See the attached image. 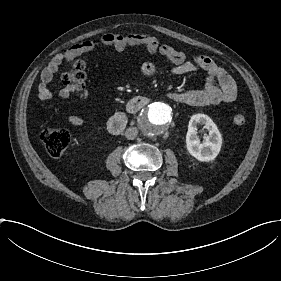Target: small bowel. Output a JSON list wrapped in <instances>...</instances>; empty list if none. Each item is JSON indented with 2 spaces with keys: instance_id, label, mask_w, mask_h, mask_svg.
I'll use <instances>...</instances> for the list:
<instances>
[{
  "instance_id": "small-bowel-1",
  "label": "small bowel",
  "mask_w": 281,
  "mask_h": 281,
  "mask_svg": "<svg viewBox=\"0 0 281 281\" xmlns=\"http://www.w3.org/2000/svg\"><path fill=\"white\" fill-rule=\"evenodd\" d=\"M102 41L104 45L112 47L117 52L125 51L130 47H143L152 53L159 52L168 57L172 62V65L165 67L164 71L173 76L192 73L197 67L206 71L207 81L204 88L196 90H170L165 93L166 96H169L179 104H230L238 97L236 85L232 77L210 57L199 54L193 56V61H188L185 53L173 47L162 45L151 32L109 33L103 37ZM94 45L93 42H87L85 46L77 44L72 49L59 53L50 60L41 73V84L38 92L41 100L52 99L53 93L49 85L65 60L77 58L84 49H91ZM160 70H163V68L153 62H146L141 66L142 74L147 77L156 75ZM72 91L70 86L63 87L59 91L58 97L60 99H67ZM68 122L77 127L82 126L84 123L83 119L76 115L69 116Z\"/></svg>"
}]
</instances>
